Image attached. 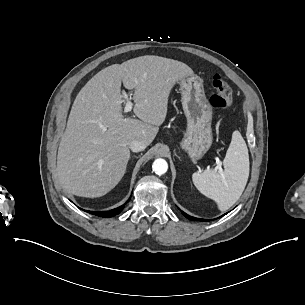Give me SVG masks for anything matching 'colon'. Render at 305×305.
I'll return each mask as SVG.
<instances>
[{"label": "colon", "mask_w": 305, "mask_h": 305, "mask_svg": "<svg viewBox=\"0 0 305 305\" xmlns=\"http://www.w3.org/2000/svg\"><path fill=\"white\" fill-rule=\"evenodd\" d=\"M214 94L209 98L210 105L215 109L229 107L233 102V94L228 82L220 73L211 75Z\"/></svg>", "instance_id": "colon-1"}]
</instances>
